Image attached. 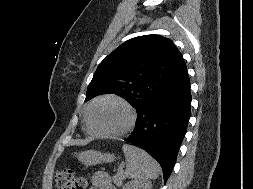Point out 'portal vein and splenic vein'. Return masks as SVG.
Returning a JSON list of instances; mask_svg holds the SVG:
<instances>
[{"label":"portal vein and splenic vein","mask_w":253,"mask_h":189,"mask_svg":"<svg viewBox=\"0 0 253 189\" xmlns=\"http://www.w3.org/2000/svg\"><path fill=\"white\" fill-rule=\"evenodd\" d=\"M122 168H123V165L121 164V165L119 166L118 171H122Z\"/></svg>","instance_id":"portal-vein-and-splenic-vein-1"}]
</instances>
